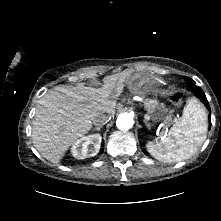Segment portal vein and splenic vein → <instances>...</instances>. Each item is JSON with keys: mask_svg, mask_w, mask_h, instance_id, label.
<instances>
[{"mask_svg": "<svg viewBox=\"0 0 221 221\" xmlns=\"http://www.w3.org/2000/svg\"><path fill=\"white\" fill-rule=\"evenodd\" d=\"M145 119L149 120L150 116L148 114L145 115Z\"/></svg>", "mask_w": 221, "mask_h": 221, "instance_id": "obj_1", "label": "portal vein and splenic vein"}]
</instances>
